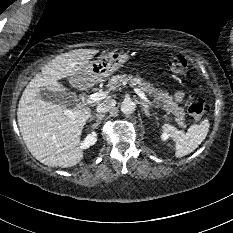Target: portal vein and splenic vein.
<instances>
[{"mask_svg": "<svg viewBox=\"0 0 233 233\" xmlns=\"http://www.w3.org/2000/svg\"><path fill=\"white\" fill-rule=\"evenodd\" d=\"M114 89L115 88H110L109 91H102V92H97V93L91 94L88 97V99L86 100V104H92L94 102H98V101L104 99L108 95L110 90H114ZM134 91L146 103H148V104L154 106L155 108L159 109V107L157 105H155L153 102H151L139 88H134ZM65 114L68 115V116H71L72 112H71V110H66Z\"/></svg>", "mask_w": 233, "mask_h": 233, "instance_id": "portal-vein-and-splenic-vein-1", "label": "portal vein and splenic vein"}]
</instances>
